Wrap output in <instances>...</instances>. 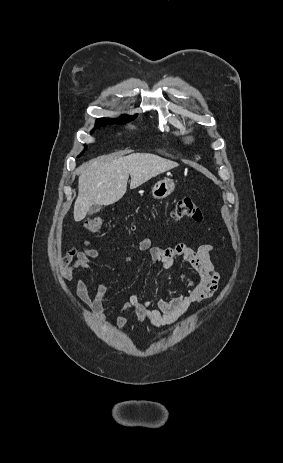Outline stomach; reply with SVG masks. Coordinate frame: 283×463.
<instances>
[{
    "label": "stomach",
    "instance_id": "stomach-1",
    "mask_svg": "<svg viewBox=\"0 0 283 463\" xmlns=\"http://www.w3.org/2000/svg\"><path fill=\"white\" fill-rule=\"evenodd\" d=\"M174 188L175 184L172 180L164 179L154 184L151 193L155 199H164L174 191Z\"/></svg>",
    "mask_w": 283,
    "mask_h": 463
}]
</instances>
